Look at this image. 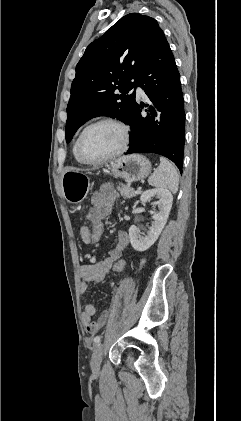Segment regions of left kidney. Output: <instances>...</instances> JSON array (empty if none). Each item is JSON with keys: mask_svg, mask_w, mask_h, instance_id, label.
I'll use <instances>...</instances> for the list:
<instances>
[{"mask_svg": "<svg viewBox=\"0 0 241 421\" xmlns=\"http://www.w3.org/2000/svg\"><path fill=\"white\" fill-rule=\"evenodd\" d=\"M153 197L159 199L157 202L153 203V206H158L159 210L154 212L152 216L153 222L146 235H141L139 229L135 225H132L129 228L131 245L139 252L149 249L156 242L167 222L172 207L173 196L169 190L164 188L146 190L142 193L140 200L142 203H146Z\"/></svg>", "mask_w": 241, "mask_h": 421, "instance_id": "obj_1", "label": "left kidney"}]
</instances>
